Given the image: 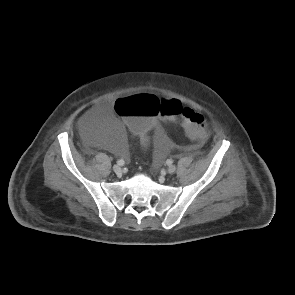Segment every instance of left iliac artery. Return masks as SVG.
Returning a JSON list of instances; mask_svg holds the SVG:
<instances>
[{"mask_svg":"<svg viewBox=\"0 0 295 295\" xmlns=\"http://www.w3.org/2000/svg\"><path fill=\"white\" fill-rule=\"evenodd\" d=\"M166 163H167V165H171V164L173 163V160H172V159H168V160L166 161Z\"/></svg>","mask_w":295,"mask_h":295,"instance_id":"left-iliac-artery-1","label":"left iliac artery"}]
</instances>
